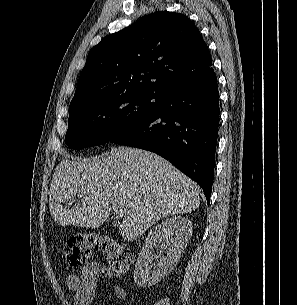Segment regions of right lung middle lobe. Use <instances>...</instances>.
Listing matches in <instances>:
<instances>
[{
    "mask_svg": "<svg viewBox=\"0 0 297 305\" xmlns=\"http://www.w3.org/2000/svg\"><path fill=\"white\" fill-rule=\"evenodd\" d=\"M158 105V94L126 92L78 105L69 110L65 142L81 150L110 141L148 116Z\"/></svg>",
    "mask_w": 297,
    "mask_h": 305,
    "instance_id": "dd1d6c3e",
    "label": "right lung middle lobe"
}]
</instances>
